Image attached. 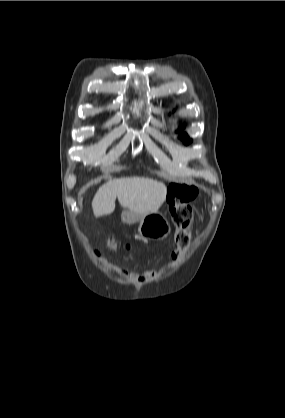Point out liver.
I'll return each instance as SVG.
<instances>
[{"label": "liver", "instance_id": "6515ba94", "mask_svg": "<svg viewBox=\"0 0 285 418\" xmlns=\"http://www.w3.org/2000/svg\"><path fill=\"white\" fill-rule=\"evenodd\" d=\"M164 183L144 177H128L106 182L97 190L92 209L95 216L111 214L118 198L123 208L145 215L158 211L166 199Z\"/></svg>", "mask_w": 285, "mask_h": 418}]
</instances>
